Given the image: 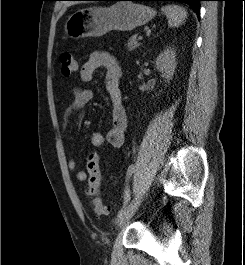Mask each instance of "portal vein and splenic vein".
I'll return each instance as SVG.
<instances>
[{
  "label": "portal vein and splenic vein",
  "mask_w": 245,
  "mask_h": 265,
  "mask_svg": "<svg viewBox=\"0 0 245 265\" xmlns=\"http://www.w3.org/2000/svg\"><path fill=\"white\" fill-rule=\"evenodd\" d=\"M142 39H143V36L140 35V36L138 37V40L141 41Z\"/></svg>",
  "instance_id": "portal-vein-and-splenic-vein-1"
}]
</instances>
